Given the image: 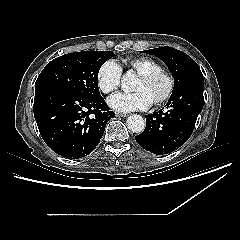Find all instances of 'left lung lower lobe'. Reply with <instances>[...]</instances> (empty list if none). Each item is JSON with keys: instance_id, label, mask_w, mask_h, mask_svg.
<instances>
[{"instance_id": "0a47b994", "label": "left lung lower lobe", "mask_w": 240, "mask_h": 240, "mask_svg": "<svg viewBox=\"0 0 240 240\" xmlns=\"http://www.w3.org/2000/svg\"><path fill=\"white\" fill-rule=\"evenodd\" d=\"M203 104V80L173 90L166 109L146 115V128L135 137L137 143L157 155L175 151L190 137Z\"/></svg>"}]
</instances>
